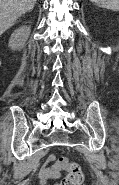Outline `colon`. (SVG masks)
I'll list each match as a JSON object with an SVG mask.
<instances>
[{"label": "colon", "mask_w": 119, "mask_h": 185, "mask_svg": "<svg viewBox=\"0 0 119 185\" xmlns=\"http://www.w3.org/2000/svg\"><path fill=\"white\" fill-rule=\"evenodd\" d=\"M59 166L66 170L68 174L65 178L56 185H81L84 175L80 166L77 163L71 162L67 157H60L58 159Z\"/></svg>", "instance_id": "colon-1"}]
</instances>
